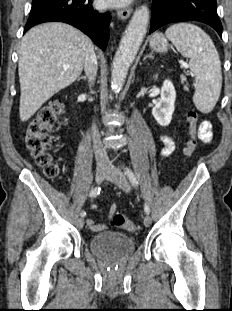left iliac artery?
I'll list each match as a JSON object with an SVG mask.
<instances>
[{
  "mask_svg": "<svg viewBox=\"0 0 232 311\" xmlns=\"http://www.w3.org/2000/svg\"><path fill=\"white\" fill-rule=\"evenodd\" d=\"M124 172H125V175L128 177V179L130 180L131 184L134 187H137L139 182H138L136 176L134 175V173L129 168H125ZM144 211L147 214L150 213V208H149V206L146 203L144 204Z\"/></svg>",
  "mask_w": 232,
  "mask_h": 311,
  "instance_id": "44dca946",
  "label": "left iliac artery"
}]
</instances>
